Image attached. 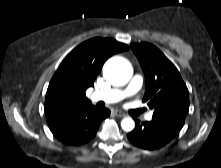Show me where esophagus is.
<instances>
[{
  "mask_svg": "<svg viewBox=\"0 0 221 168\" xmlns=\"http://www.w3.org/2000/svg\"><path fill=\"white\" fill-rule=\"evenodd\" d=\"M114 114H115L117 117H124V116H125V113H123V112L120 111V110H114Z\"/></svg>",
  "mask_w": 221,
  "mask_h": 168,
  "instance_id": "esophagus-1",
  "label": "esophagus"
}]
</instances>
